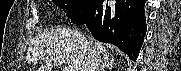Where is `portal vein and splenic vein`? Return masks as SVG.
I'll return each mask as SVG.
<instances>
[{
  "instance_id": "portal-vein-and-splenic-vein-1",
  "label": "portal vein and splenic vein",
  "mask_w": 181,
  "mask_h": 71,
  "mask_svg": "<svg viewBox=\"0 0 181 71\" xmlns=\"http://www.w3.org/2000/svg\"><path fill=\"white\" fill-rule=\"evenodd\" d=\"M65 71H73V69L66 66V67H65Z\"/></svg>"
}]
</instances>
